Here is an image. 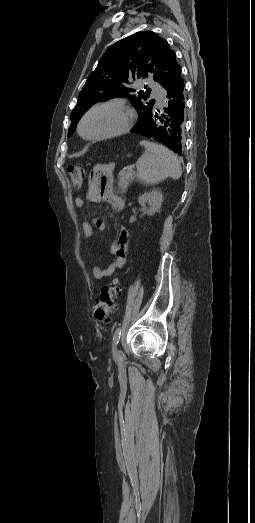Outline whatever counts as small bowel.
<instances>
[{"label":"small bowel","instance_id":"obj_1","mask_svg":"<svg viewBox=\"0 0 255 523\" xmlns=\"http://www.w3.org/2000/svg\"><path fill=\"white\" fill-rule=\"evenodd\" d=\"M101 196L111 204L114 211L120 212L123 209V200L120 197L116 196L112 190L111 178L107 179V181L102 185ZM97 198L98 194L96 189L94 187H91L86 194V199L94 201ZM75 205L79 208L84 207L85 199L83 197L75 198ZM93 226L96 229L103 231L106 228V223L103 219L99 217L93 218L92 223H89L88 221H83L81 227L83 236L86 240L92 237ZM128 240V231L122 227L120 229L118 239L111 245V253L114 255V261L106 268H101L96 264H92L91 273L94 276V278L98 280L104 279L106 277L111 276L115 272V270H120L123 268L126 262Z\"/></svg>","mask_w":255,"mask_h":523}]
</instances>
